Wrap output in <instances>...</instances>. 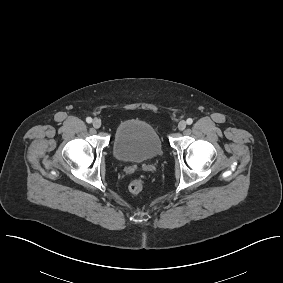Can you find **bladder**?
I'll return each instance as SVG.
<instances>
[{
  "instance_id": "bladder-1",
  "label": "bladder",
  "mask_w": 283,
  "mask_h": 283,
  "mask_svg": "<svg viewBox=\"0 0 283 283\" xmlns=\"http://www.w3.org/2000/svg\"><path fill=\"white\" fill-rule=\"evenodd\" d=\"M163 144L156 128L140 119H129L115 130L113 152L122 162L151 161L162 154Z\"/></svg>"
}]
</instances>
